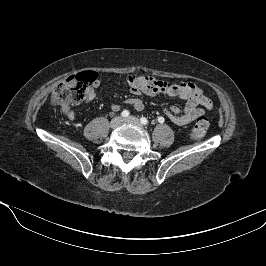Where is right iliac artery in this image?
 <instances>
[{
	"label": "right iliac artery",
	"instance_id": "obj_1",
	"mask_svg": "<svg viewBox=\"0 0 266 266\" xmlns=\"http://www.w3.org/2000/svg\"><path fill=\"white\" fill-rule=\"evenodd\" d=\"M129 114H130V113H129L128 110H124V111H122L121 116H122V117H128Z\"/></svg>",
	"mask_w": 266,
	"mask_h": 266
}]
</instances>
